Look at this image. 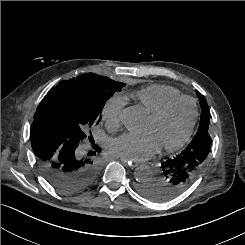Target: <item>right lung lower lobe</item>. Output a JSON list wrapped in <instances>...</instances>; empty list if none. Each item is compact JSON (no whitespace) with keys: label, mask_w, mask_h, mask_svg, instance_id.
Segmentation results:
<instances>
[{"label":"right lung lower lobe","mask_w":245,"mask_h":245,"mask_svg":"<svg viewBox=\"0 0 245 245\" xmlns=\"http://www.w3.org/2000/svg\"><path fill=\"white\" fill-rule=\"evenodd\" d=\"M37 163L46 180L64 194L85 190L96 180L100 165L90 151L82 155L80 143L45 119H35L30 132ZM99 152L100 148L96 147Z\"/></svg>","instance_id":"right-lung-lower-lobe-1"}]
</instances>
